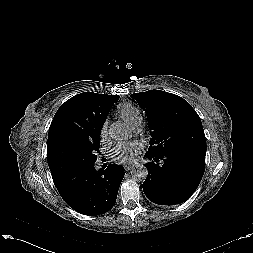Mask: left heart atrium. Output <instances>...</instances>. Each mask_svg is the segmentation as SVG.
<instances>
[{"mask_svg":"<svg viewBox=\"0 0 253 253\" xmlns=\"http://www.w3.org/2000/svg\"><path fill=\"white\" fill-rule=\"evenodd\" d=\"M139 147L133 143H121L114 148V157L122 160L123 162L133 161L135 154Z\"/></svg>","mask_w":253,"mask_h":253,"instance_id":"39dd6f15","label":"left heart atrium"}]
</instances>
